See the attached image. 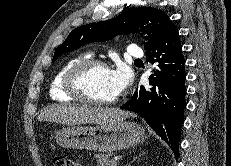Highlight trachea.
Instances as JSON below:
<instances>
[{
	"label": "trachea",
	"mask_w": 231,
	"mask_h": 166,
	"mask_svg": "<svg viewBox=\"0 0 231 166\" xmlns=\"http://www.w3.org/2000/svg\"><path fill=\"white\" fill-rule=\"evenodd\" d=\"M135 61H142L141 59H136Z\"/></svg>",
	"instance_id": "obj_1"
}]
</instances>
